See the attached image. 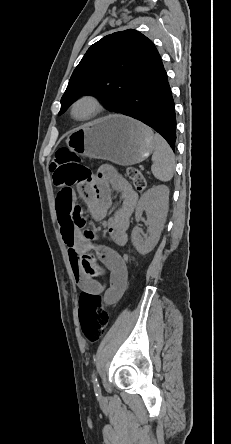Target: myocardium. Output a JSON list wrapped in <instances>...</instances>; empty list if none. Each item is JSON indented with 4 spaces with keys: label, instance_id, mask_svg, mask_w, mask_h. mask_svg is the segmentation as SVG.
Here are the masks:
<instances>
[{
    "label": "myocardium",
    "instance_id": "obj_1",
    "mask_svg": "<svg viewBox=\"0 0 231 444\" xmlns=\"http://www.w3.org/2000/svg\"><path fill=\"white\" fill-rule=\"evenodd\" d=\"M83 101H88L91 103L93 109L92 112L84 117H77L75 115V108L76 106ZM103 111V105L102 102L100 101V99L93 95V94H84L79 96L77 99L74 100V102L71 104L70 107V114L71 117L76 120V121H80V122H84V121H90L93 120L95 118H97Z\"/></svg>",
    "mask_w": 231,
    "mask_h": 444
}]
</instances>
